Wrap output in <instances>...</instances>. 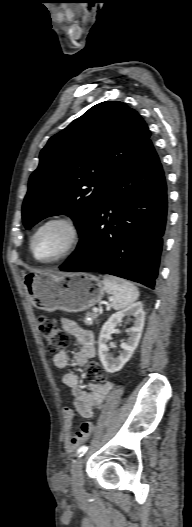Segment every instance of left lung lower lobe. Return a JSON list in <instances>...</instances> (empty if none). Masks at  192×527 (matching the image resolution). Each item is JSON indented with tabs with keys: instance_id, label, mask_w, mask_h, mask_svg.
<instances>
[{
	"instance_id": "left-lung-lower-lobe-1",
	"label": "left lung lower lobe",
	"mask_w": 192,
	"mask_h": 527,
	"mask_svg": "<svg viewBox=\"0 0 192 527\" xmlns=\"http://www.w3.org/2000/svg\"><path fill=\"white\" fill-rule=\"evenodd\" d=\"M167 220V187L149 140L109 186L62 271H98L154 288Z\"/></svg>"
}]
</instances>
